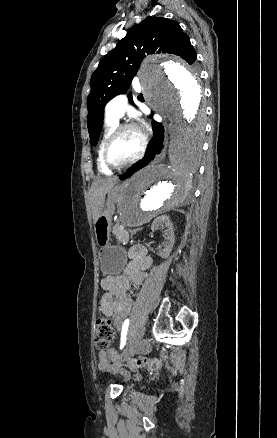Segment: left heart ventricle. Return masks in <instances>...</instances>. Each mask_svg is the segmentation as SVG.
Instances as JSON below:
<instances>
[{
  "label": "left heart ventricle",
  "instance_id": "1",
  "mask_svg": "<svg viewBox=\"0 0 277 438\" xmlns=\"http://www.w3.org/2000/svg\"><path fill=\"white\" fill-rule=\"evenodd\" d=\"M139 149V136L134 131H125L111 145L109 159L114 164H122L134 158Z\"/></svg>",
  "mask_w": 277,
  "mask_h": 438
}]
</instances>
